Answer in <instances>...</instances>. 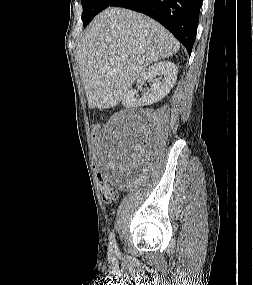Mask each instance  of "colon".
<instances>
[{"mask_svg":"<svg viewBox=\"0 0 253 285\" xmlns=\"http://www.w3.org/2000/svg\"><path fill=\"white\" fill-rule=\"evenodd\" d=\"M92 136V147L94 148V150H92V162L94 165V167H92V175L96 176V179L99 180L100 192L103 200L106 203H111L116 199L117 192L109 182L108 176L103 175V164L99 158L100 151L103 150L100 126L92 127Z\"/></svg>","mask_w":253,"mask_h":285,"instance_id":"5ec220e1","label":"colon"}]
</instances>
